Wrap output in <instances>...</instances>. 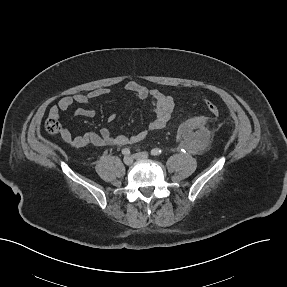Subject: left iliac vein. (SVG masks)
Listing matches in <instances>:
<instances>
[{
  "label": "left iliac vein",
  "mask_w": 287,
  "mask_h": 287,
  "mask_svg": "<svg viewBox=\"0 0 287 287\" xmlns=\"http://www.w3.org/2000/svg\"><path fill=\"white\" fill-rule=\"evenodd\" d=\"M136 160H147L148 159V153L147 152H140L136 153L132 156Z\"/></svg>",
  "instance_id": "4c4485c4"
}]
</instances>
